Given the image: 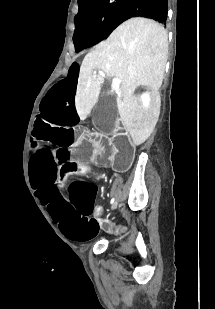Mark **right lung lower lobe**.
Returning <instances> with one entry per match:
<instances>
[{
    "label": "right lung lower lobe",
    "instance_id": "obj_1",
    "mask_svg": "<svg viewBox=\"0 0 215 309\" xmlns=\"http://www.w3.org/2000/svg\"><path fill=\"white\" fill-rule=\"evenodd\" d=\"M167 0H132L121 13L116 27L132 17H146L164 23L167 19Z\"/></svg>",
    "mask_w": 215,
    "mask_h": 309
}]
</instances>
